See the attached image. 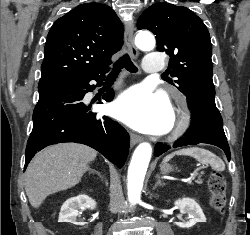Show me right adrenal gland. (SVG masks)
I'll return each instance as SVG.
<instances>
[{
  "label": "right adrenal gland",
  "instance_id": "obj_1",
  "mask_svg": "<svg viewBox=\"0 0 250 235\" xmlns=\"http://www.w3.org/2000/svg\"><path fill=\"white\" fill-rule=\"evenodd\" d=\"M92 173L97 174L101 178V180H104V177L100 174V172H98L94 169H89V174H92Z\"/></svg>",
  "mask_w": 250,
  "mask_h": 235
}]
</instances>
